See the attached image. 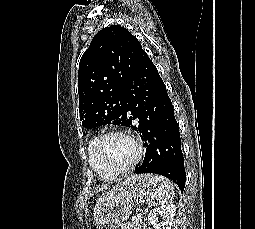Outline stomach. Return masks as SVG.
Segmentation results:
<instances>
[{
	"label": "stomach",
	"instance_id": "1",
	"mask_svg": "<svg viewBox=\"0 0 255 229\" xmlns=\"http://www.w3.org/2000/svg\"><path fill=\"white\" fill-rule=\"evenodd\" d=\"M157 184L150 174L131 175L120 184L116 194L94 215L96 229H116L128 220L137 201L150 197Z\"/></svg>",
	"mask_w": 255,
	"mask_h": 229
}]
</instances>
